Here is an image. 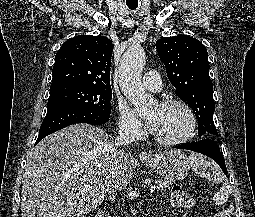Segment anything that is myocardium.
<instances>
[{"instance_id": "obj_1", "label": "myocardium", "mask_w": 255, "mask_h": 217, "mask_svg": "<svg viewBox=\"0 0 255 217\" xmlns=\"http://www.w3.org/2000/svg\"><path fill=\"white\" fill-rule=\"evenodd\" d=\"M159 105L161 107H168V106H173V105L182 107L187 112V114L189 116L190 125H189L187 132L184 135H182L178 138H173V139L161 138L152 132L154 140L157 143H159L161 145H165V146H175V145H179V144L185 143L188 140H190L193 137V135L195 134L196 129H197V116H196L193 108L186 101H184L180 98H168V99L161 101Z\"/></svg>"}]
</instances>
